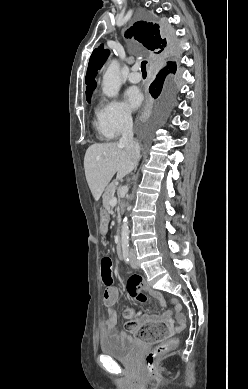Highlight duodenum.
Here are the masks:
<instances>
[{"instance_id": "410a0bca", "label": "duodenum", "mask_w": 248, "mask_h": 389, "mask_svg": "<svg viewBox=\"0 0 248 389\" xmlns=\"http://www.w3.org/2000/svg\"><path fill=\"white\" fill-rule=\"evenodd\" d=\"M115 248H116V253H117L118 258L122 259L124 256V253H123L120 239L117 240Z\"/></svg>"}]
</instances>
